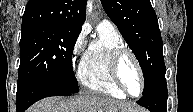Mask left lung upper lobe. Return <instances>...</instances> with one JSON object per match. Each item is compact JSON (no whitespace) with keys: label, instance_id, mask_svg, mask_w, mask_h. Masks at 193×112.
<instances>
[{"label":"left lung upper lobe","instance_id":"left-lung-upper-lobe-1","mask_svg":"<svg viewBox=\"0 0 193 112\" xmlns=\"http://www.w3.org/2000/svg\"><path fill=\"white\" fill-rule=\"evenodd\" d=\"M101 3L139 61L145 95L166 70L158 19L150 0H101Z\"/></svg>","mask_w":193,"mask_h":112}]
</instances>
